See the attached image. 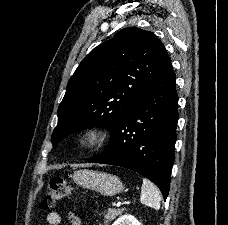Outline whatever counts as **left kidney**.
Returning <instances> with one entry per match:
<instances>
[{"label": "left kidney", "instance_id": "5707ae66", "mask_svg": "<svg viewBox=\"0 0 228 225\" xmlns=\"http://www.w3.org/2000/svg\"><path fill=\"white\" fill-rule=\"evenodd\" d=\"M113 225H141L133 215H122Z\"/></svg>", "mask_w": 228, "mask_h": 225}]
</instances>
